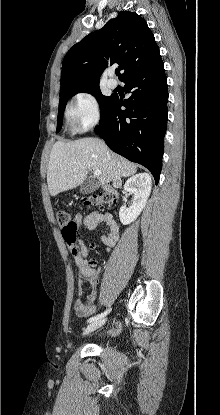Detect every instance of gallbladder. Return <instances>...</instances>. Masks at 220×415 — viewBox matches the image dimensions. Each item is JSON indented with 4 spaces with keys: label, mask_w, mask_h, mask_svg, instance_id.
Segmentation results:
<instances>
[{
    "label": "gallbladder",
    "mask_w": 220,
    "mask_h": 415,
    "mask_svg": "<svg viewBox=\"0 0 220 415\" xmlns=\"http://www.w3.org/2000/svg\"><path fill=\"white\" fill-rule=\"evenodd\" d=\"M98 185L92 179L87 178L83 184L81 185L80 192L83 194H87L93 192L97 189Z\"/></svg>",
    "instance_id": "obj_1"
}]
</instances>
